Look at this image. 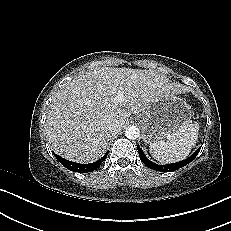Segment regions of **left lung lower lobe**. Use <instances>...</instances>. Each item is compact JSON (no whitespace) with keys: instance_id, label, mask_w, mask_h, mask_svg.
Here are the masks:
<instances>
[{"instance_id":"1","label":"left lung lower lobe","mask_w":231,"mask_h":231,"mask_svg":"<svg viewBox=\"0 0 231 231\" xmlns=\"http://www.w3.org/2000/svg\"><path fill=\"white\" fill-rule=\"evenodd\" d=\"M137 149L139 152V156L141 161L149 168L154 169L156 171H160V172H170V171H174V170H178L179 168L187 165L188 163H190L191 161H193L195 159V157L197 156V154L199 153L201 146L187 159L182 160L180 162H176V163H172V164H167V165H158L156 163H153L152 161H150L144 154V152L142 151V149L137 145Z\"/></svg>"}]
</instances>
